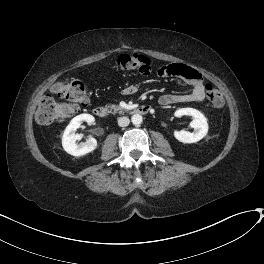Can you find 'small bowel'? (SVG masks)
<instances>
[{
	"label": "small bowel",
	"mask_w": 264,
	"mask_h": 264,
	"mask_svg": "<svg viewBox=\"0 0 264 264\" xmlns=\"http://www.w3.org/2000/svg\"><path fill=\"white\" fill-rule=\"evenodd\" d=\"M163 77L178 76L182 81L190 87L188 94H172L165 93L159 98V103L163 106L188 103L201 102L205 98V87L199 72L187 65L171 64L163 68ZM135 92L133 86H129L124 90L125 95H131Z\"/></svg>",
	"instance_id": "c3829d8e"
}]
</instances>
